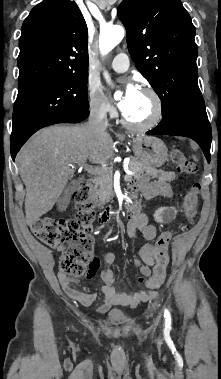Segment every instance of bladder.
I'll return each mask as SVG.
<instances>
[{
    "instance_id": "31cf9c89",
    "label": "bladder",
    "mask_w": 221,
    "mask_h": 379,
    "mask_svg": "<svg viewBox=\"0 0 221 379\" xmlns=\"http://www.w3.org/2000/svg\"><path fill=\"white\" fill-rule=\"evenodd\" d=\"M107 319L114 323H121L127 321L128 315L120 309H112L108 312Z\"/></svg>"
}]
</instances>
